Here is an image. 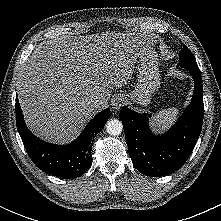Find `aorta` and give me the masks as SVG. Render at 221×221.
<instances>
[{
    "label": "aorta",
    "mask_w": 221,
    "mask_h": 221,
    "mask_svg": "<svg viewBox=\"0 0 221 221\" xmlns=\"http://www.w3.org/2000/svg\"><path fill=\"white\" fill-rule=\"evenodd\" d=\"M123 130L122 122L118 119H110L106 123V132L111 136H117L121 134Z\"/></svg>",
    "instance_id": "762f6f07"
}]
</instances>
